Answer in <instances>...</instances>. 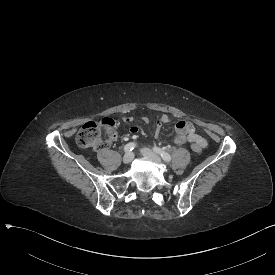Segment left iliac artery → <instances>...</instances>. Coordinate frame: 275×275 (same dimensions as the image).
<instances>
[{
  "instance_id": "1",
  "label": "left iliac artery",
  "mask_w": 275,
  "mask_h": 275,
  "mask_svg": "<svg viewBox=\"0 0 275 275\" xmlns=\"http://www.w3.org/2000/svg\"><path fill=\"white\" fill-rule=\"evenodd\" d=\"M154 151L157 152L158 154H160V156L163 158L164 161H166V162L171 161V156L166 151H164L158 147H154Z\"/></svg>"
}]
</instances>
